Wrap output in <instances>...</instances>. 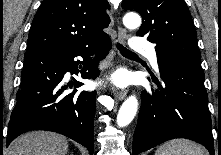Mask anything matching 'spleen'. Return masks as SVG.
<instances>
[{
	"instance_id": "spleen-1",
	"label": "spleen",
	"mask_w": 221,
	"mask_h": 155,
	"mask_svg": "<svg viewBox=\"0 0 221 155\" xmlns=\"http://www.w3.org/2000/svg\"><path fill=\"white\" fill-rule=\"evenodd\" d=\"M155 155H206L195 142L187 139H173L159 146Z\"/></svg>"
}]
</instances>
